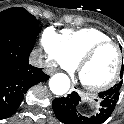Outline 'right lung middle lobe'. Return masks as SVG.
Segmentation results:
<instances>
[{
    "mask_svg": "<svg viewBox=\"0 0 124 124\" xmlns=\"http://www.w3.org/2000/svg\"><path fill=\"white\" fill-rule=\"evenodd\" d=\"M38 25L36 17L24 8L14 7L0 12V29H25Z\"/></svg>",
    "mask_w": 124,
    "mask_h": 124,
    "instance_id": "dd1d6c3e",
    "label": "right lung middle lobe"
}]
</instances>
